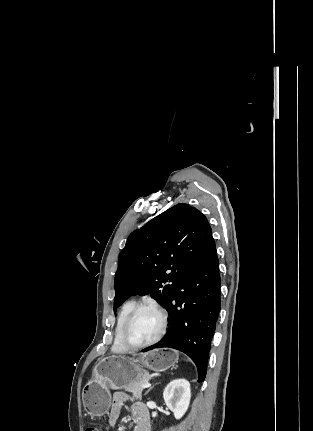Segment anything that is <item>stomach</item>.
<instances>
[{
	"mask_svg": "<svg viewBox=\"0 0 313 431\" xmlns=\"http://www.w3.org/2000/svg\"><path fill=\"white\" fill-rule=\"evenodd\" d=\"M177 361L178 354L166 350L149 351L137 358L105 357L96 365L91 380L83 388V404L91 416H103L111 405L110 389H121L139 377L146 378L147 370L165 371Z\"/></svg>",
	"mask_w": 313,
	"mask_h": 431,
	"instance_id": "stomach-1",
	"label": "stomach"
}]
</instances>
